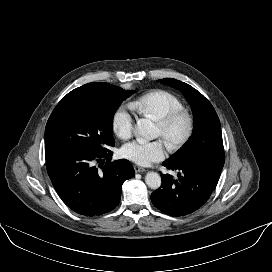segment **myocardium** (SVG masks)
Here are the masks:
<instances>
[{"instance_id": "1", "label": "myocardium", "mask_w": 272, "mask_h": 272, "mask_svg": "<svg viewBox=\"0 0 272 272\" xmlns=\"http://www.w3.org/2000/svg\"><path fill=\"white\" fill-rule=\"evenodd\" d=\"M178 121H183L185 128L179 138L166 141L170 151H176L188 142L193 134L194 119L187 110L181 108L169 112L157 121L158 126L162 129L165 135Z\"/></svg>"}]
</instances>
